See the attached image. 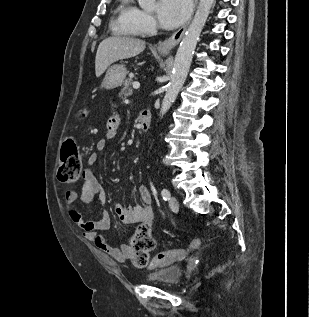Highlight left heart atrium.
<instances>
[{"mask_svg": "<svg viewBox=\"0 0 309 317\" xmlns=\"http://www.w3.org/2000/svg\"><path fill=\"white\" fill-rule=\"evenodd\" d=\"M190 10V0H160L158 19L162 27L173 29L188 17Z\"/></svg>", "mask_w": 309, "mask_h": 317, "instance_id": "obj_1", "label": "left heart atrium"}]
</instances>
